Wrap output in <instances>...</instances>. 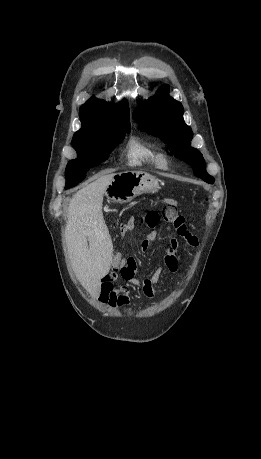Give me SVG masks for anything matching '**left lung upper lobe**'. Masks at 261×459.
<instances>
[{
	"instance_id": "5c2ea615",
	"label": "left lung upper lobe",
	"mask_w": 261,
	"mask_h": 459,
	"mask_svg": "<svg viewBox=\"0 0 261 459\" xmlns=\"http://www.w3.org/2000/svg\"><path fill=\"white\" fill-rule=\"evenodd\" d=\"M183 107L169 96L168 86L163 85L157 93L146 100L144 105L133 112L141 130L159 136L179 159L189 164L194 174L212 184L214 178L206 170L202 154L190 146L192 130L183 120Z\"/></svg>"
}]
</instances>
